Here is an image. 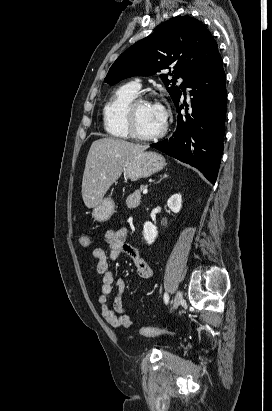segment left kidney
<instances>
[{"instance_id": "1", "label": "left kidney", "mask_w": 272, "mask_h": 411, "mask_svg": "<svg viewBox=\"0 0 272 411\" xmlns=\"http://www.w3.org/2000/svg\"><path fill=\"white\" fill-rule=\"evenodd\" d=\"M167 206L174 213H179L182 208V196L180 193L172 195L168 201ZM143 236L147 244H152L158 236L157 228L149 221L145 222L143 226Z\"/></svg>"}]
</instances>
